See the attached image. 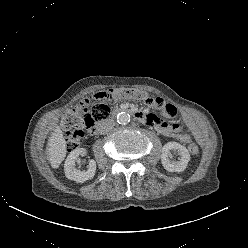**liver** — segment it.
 <instances>
[{
  "mask_svg": "<svg viewBox=\"0 0 248 248\" xmlns=\"http://www.w3.org/2000/svg\"><path fill=\"white\" fill-rule=\"evenodd\" d=\"M46 152L52 168H58L66 157V141L59 127H56L51 133Z\"/></svg>",
  "mask_w": 248,
  "mask_h": 248,
  "instance_id": "obj_1",
  "label": "liver"
}]
</instances>
